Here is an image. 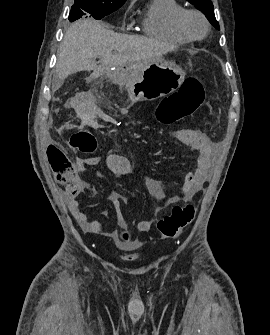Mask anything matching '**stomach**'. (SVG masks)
<instances>
[{"mask_svg":"<svg viewBox=\"0 0 270 335\" xmlns=\"http://www.w3.org/2000/svg\"><path fill=\"white\" fill-rule=\"evenodd\" d=\"M117 76L124 80L131 104L142 100H157L176 92L184 82L185 72L170 66L162 58L151 60L149 66L117 68Z\"/></svg>","mask_w":270,"mask_h":335,"instance_id":"stomach-1","label":"stomach"}]
</instances>
